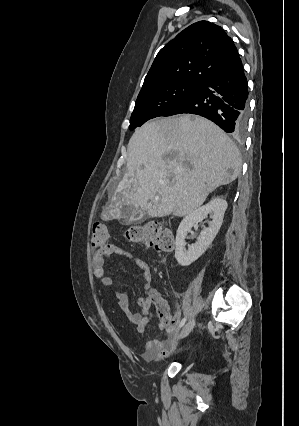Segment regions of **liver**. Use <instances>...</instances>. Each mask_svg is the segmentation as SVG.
<instances>
[{
    "label": "liver",
    "instance_id": "obj_1",
    "mask_svg": "<svg viewBox=\"0 0 299 426\" xmlns=\"http://www.w3.org/2000/svg\"><path fill=\"white\" fill-rule=\"evenodd\" d=\"M240 171L238 148L213 122L190 114L150 121L129 141L126 173L102 218L119 219L128 205L152 218L186 216Z\"/></svg>",
    "mask_w": 299,
    "mask_h": 426
}]
</instances>
